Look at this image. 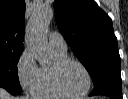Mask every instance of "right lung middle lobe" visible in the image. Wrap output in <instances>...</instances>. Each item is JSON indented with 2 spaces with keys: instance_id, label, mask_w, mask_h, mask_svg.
<instances>
[{
  "instance_id": "dd1d6c3e",
  "label": "right lung middle lobe",
  "mask_w": 128,
  "mask_h": 99,
  "mask_svg": "<svg viewBox=\"0 0 128 99\" xmlns=\"http://www.w3.org/2000/svg\"><path fill=\"white\" fill-rule=\"evenodd\" d=\"M23 49L0 47V83L22 91L19 83L17 63Z\"/></svg>"
}]
</instances>
